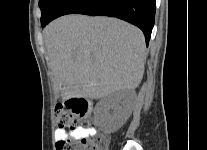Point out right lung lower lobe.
<instances>
[{
	"mask_svg": "<svg viewBox=\"0 0 207 150\" xmlns=\"http://www.w3.org/2000/svg\"><path fill=\"white\" fill-rule=\"evenodd\" d=\"M66 14L110 16L125 20L143 31L148 45L154 26L155 0H63L52 18L41 26Z\"/></svg>",
	"mask_w": 207,
	"mask_h": 150,
	"instance_id": "98d812e1",
	"label": "right lung lower lobe"
}]
</instances>
